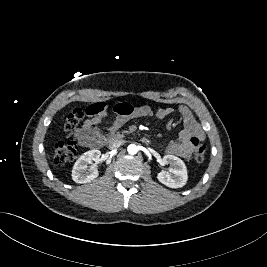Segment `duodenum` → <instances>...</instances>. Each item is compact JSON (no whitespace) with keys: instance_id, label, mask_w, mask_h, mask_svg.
Listing matches in <instances>:
<instances>
[{"instance_id":"1","label":"duodenum","mask_w":267,"mask_h":267,"mask_svg":"<svg viewBox=\"0 0 267 267\" xmlns=\"http://www.w3.org/2000/svg\"><path fill=\"white\" fill-rule=\"evenodd\" d=\"M121 140H122L121 136H119V135H112V136H110L108 138V143L111 146L115 147L116 145H118L121 142ZM142 141L145 144H148L149 143V139L146 138V137H144Z\"/></svg>"}]
</instances>
